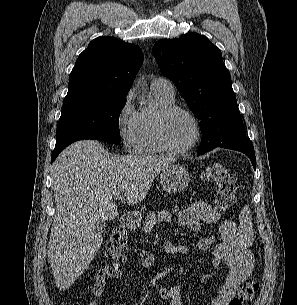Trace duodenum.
I'll return each mask as SVG.
<instances>
[{
    "mask_svg": "<svg viewBox=\"0 0 297 305\" xmlns=\"http://www.w3.org/2000/svg\"><path fill=\"white\" fill-rule=\"evenodd\" d=\"M120 222L123 227L132 229L137 226V219L133 214H125L121 217Z\"/></svg>",
    "mask_w": 297,
    "mask_h": 305,
    "instance_id": "1",
    "label": "duodenum"
}]
</instances>
